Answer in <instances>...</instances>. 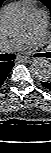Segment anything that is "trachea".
I'll list each match as a JSON object with an SVG mask.
<instances>
[{
  "label": "trachea",
  "instance_id": "obj_1",
  "mask_svg": "<svg viewBox=\"0 0 51 153\" xmlns=\"http://www.w3.org/2000/svg\"><path fill=\"white\" fill-rule=\"evenodd\" d=\"M16 58L14 54H0V60L3 62L12 61Z\"/></svg>",
  "mask_w": 51,
  "mask_h": 153
}]
</instances>
